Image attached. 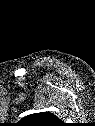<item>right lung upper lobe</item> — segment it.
<instances>
[{
    "label": "right lung upper lobe",
    "instance_id": "right-lung-upper-lobe-1",
    "mask_svg": "<svg viewBox=\"0 0 95 126\" xmlns=\"http://www.w3.org/2000/svg\"><path fill=\"white\" fill-rule=\"evenodd\" d=\"M24 126H62L64 123L50 112L31 114L21 120Z\"/></svg>",
    "mask_w": 95,
    "mask_h": 126
}]
</instances>
